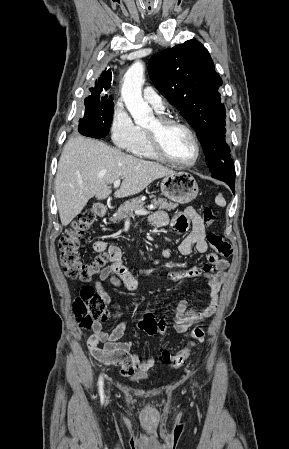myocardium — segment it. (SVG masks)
<instances>
[{
  "label": "myocardium",
  "instance_id": "obj_1",
  "mask_svg": "<svg viewBox=\"0 0 289 449\" xmlns=\"http://www.w3.org/2000/svg\"><path fill=\"white\" fill-rule=\"evenodd\" d=\"M157 128L156 129H147L146 133L150 142V146L155 153V155L172 164L182 166V167H191L194 166L200 159L202 149L200 141L195 133V131L186 123L181 120L168 117V116H158L156 118ZM180 127L184 129L191 137L194 142L196 148L195 158L190 162H181L174 158H172L165 150L162 140V133L169 127Z\"/></svg>",
  "mask_w": 289,
  "mask_h": 449
}]
</instances>
